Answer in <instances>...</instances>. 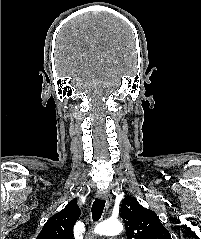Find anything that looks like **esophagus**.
<instances>
[{
	"label": "esophagus",
	"instance_id": "obj_1",
	"mask_svg": "<svg viewBox=\"0 0 201 239\" xmlns=\"http://www.w3.org/2000/svg\"><path fill=\"white\" fill-rule=\"evenodd\" d=\"M97 197L99 199L105 200L106 207L109 208V206L111 204V201H112V198H111V195H110L109 192H107V191H98L97 192Z\"/></svg>",
	"mask_w": 201,
	"mask_h": 239
}]
</instances>
